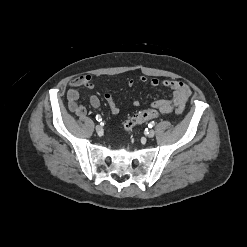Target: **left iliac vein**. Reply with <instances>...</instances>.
<instances>
[{"label":"left iliac vein","instance_id":"left-iliac-vein-1","mask_svg":"<svg viewBox=\"0 0 247 247\" xmlns=\"http://www.w3.org/2000/svg\"><path fill=\"white\" fill-rule=\"evenodd\" d=\"M154 135H155V131H154L153 129H151V130L148 132L147 137H148V138H153Z\"/></svg>","mask_w":247,"mask_h":247}]
</instances>
